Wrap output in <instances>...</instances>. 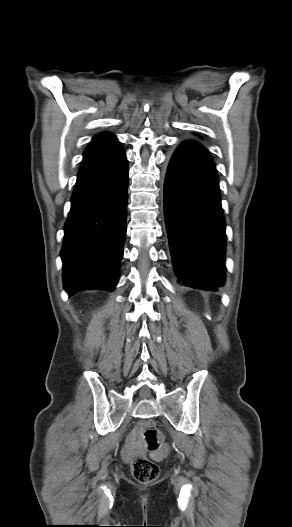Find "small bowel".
Segmentation results:
<instances>
[{
    "label": "small bowel",
    "mask_w": 292,
    "mask_h": 527,
    "mask_svg": "<svg viewBox=\"0 0 292 527\" xmlns=\"http://www.w3.org/2000/svg\"><path fill=\"white\" fill-rule=\"evenodd\" d=\"M147 450H149L141 438V432L139 427L134 429L129 435L123 454L125 458L129 459L132 456L143 455ZM153 455L152 461L154 464L159 465L162 463L163 458L168 453V446L163 443L156 450H149Z\"/></svg>",
    "instance_id": "1"
}]
</instances>
